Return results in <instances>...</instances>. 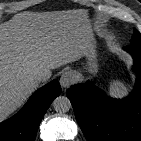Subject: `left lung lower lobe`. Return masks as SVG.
<instances>
[{
  "label": "left lung lower lobe",
  "mask_w": 141,
  "mask_h": 141,
  "mask_svg": "<svg viewBox=\"0 0 141 141\" xmlns=\"http://www.w3.org/2000/svg\"><path fill=\"white\" fill-rule=\"evenodd\" d=\"M134 59L137 84L129 97H107L92 83L67 90L76 120L87 141H141V44L124 47Z\"/></svg>",
  "instance_id": "left-lung-lower-lobe-1"
}]
</instances>
